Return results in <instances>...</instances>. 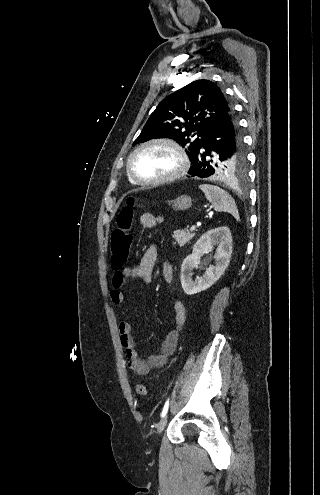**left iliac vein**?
I'll return each instance as SVG.
<instances>
[{
    "label": "left iliac vein",
    "mask_w": 320,
    "mask_h": 495,
    "mask_svg": "<svg viewBox=\"0 0 320 495\" xmlns=\"http://www.w3.org/2000/svg\"><path fill=\"white\" fill-rule=\"evenodd\" d=\"M167 425V415H165L159 422L157 427V433L161 434Z\"/></svg>",
    "instance_id": "obj_1"
}]
</instances>
